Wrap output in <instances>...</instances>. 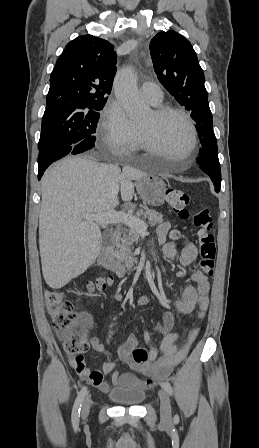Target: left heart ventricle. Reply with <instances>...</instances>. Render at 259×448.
<instances>
[{
    "label": "left heart ventricle",
    "mask_w": 259,
    "mask_h": 448,
    "mask_svg": "<svg viewBox=\"0 0 259 448\" xmlns=\"http://www.w3.org/2000/svg\"><path fill=\"white\" fill-rule=\"evenodd\" d=\"M139 126L153 129L155 139L162 148L154 155L173 162L186 160V148L190 141V131L185 121L177 115H169L155 122L151 112Z\"/></svg>",
    "instance_id": "obj_1"
}]
</instances>
